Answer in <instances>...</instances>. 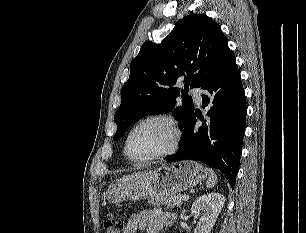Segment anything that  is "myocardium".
I'll return each mask as SVG.
<instances>
[{"mask_svg":"<svg viewBox=\"0 0 306 233\" xmlns=\"http://www.w3.org/2000/svg\"><path fill=\"white\" fill-rule=\"evenodd\" d=\"M152 121H163L166 122L173 133V142L172 145L169 149L161 152V153H157L154 155H150L144 158H134L130 152H129V142L130 139L133 135V133L142 125L148 123V122H152ZM181 137H182V133H181V129L179 127V124L177 122V120L168 114H154V115H150L144 119H142L141 121H139L128 133L126 140H125V144H124V154L126 155V157L135 163H144V162H148V161H152V160H156V159H161V158H165L167 156H170L172 154H174L179 146H180V142H181Z\"/></svg>","mask_w":306,"mask_h":233,"instance_id":"1","label":"myocardium"}]
</instances>
